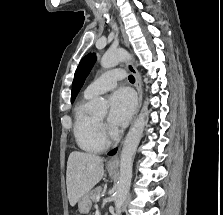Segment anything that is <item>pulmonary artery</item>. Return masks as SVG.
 I'll use <instances>...</instances> for the list:
<instances>
[{"instance_id": "obj_1", "label": "pulmonary artery", "mask_w": 223, "mask_h": 215, "mask_svg": "<svg viewBox=\"0 0 223 215\" xmlns=\"http://www.w3.org/2000/svg\"><path fill=\"white\" fill-rule=\"evenodd\" d=\"M124 74L119 69H109L107 73L96 78L85 89L84 94L94 97L116 87L119 80L124 78Z\"/></svg>"}]
</instances>
